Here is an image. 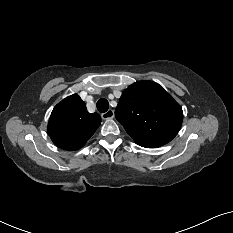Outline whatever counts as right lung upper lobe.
I'll use <instances>...</instances> for the list:
<instances>
[{"label":"right lung upper lobe","mask_w":233,"mask_h":233,"mask_svg":"<svg viewBox=\"0 0 233 233\" xmlns=\"http://www.w3.org/2000/svg\"><path fill=\"white\" fill-rule=\"evenodd\" d=\"M100 123V115L89 113L81 98L73 94L55 106L47 130L58 147L78 150L94 134Z\"/></svg>","instance_id":"right-lung-upper-lobe-1"}]
</instances>
